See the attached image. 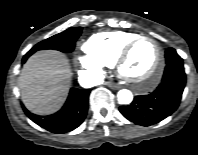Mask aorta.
Instances as JSON below:
<instances>
[{
  "mask_svg": "<svg viewBox=\"0 0 198 155\" xmlns=\"http://www.w3.org/2000/svg\"><path fill=\"white\" fill-rule=\"evenodd\" d=\"M117 97H118V101L124 105L130 104L133 100L132 92L127 89H121L118 92Z\"/></svg>",
  "mask_w": 198,
  "mask_h": 155,
  "instance_id": "aorta-1",
  "label": "aorta"
}]
</instances>
